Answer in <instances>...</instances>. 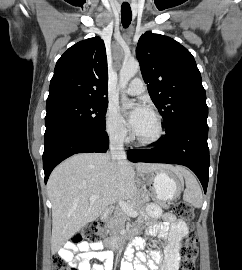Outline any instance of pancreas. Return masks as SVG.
I'll list each match as a JSON object with an SVG mask.
<instances>
[{"mask_svg": "<svg viewBox=\"0 0 242 270\" xmlns=\"http://www.w3.org/2000/svg\"><path fill=\"white\" fill-rule=\"evenodd\" d=\"M149 196V192H143L142 194L132 199L130 204L136 211H140L143 205L149 201ZM163 207L168 208V206L165 204H163ZM127 217V214L121 208H116L114 213L106 223L108 232L113 236H116L122 231H124Z\"/></svg>", "mask_w": 242, "mask_h": 270, "instance_id": "obj_1", "label": "pancreas"}]
</instances>
